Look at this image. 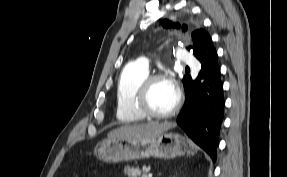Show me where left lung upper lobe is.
Listing matches in <instances>:
<instances>
[{"label":"left lung upper lobe","mask_w":287,"mask_h":177,"mask_svg":"<svg viewBox=\"0 0 287 177\" xmlns=\"http://www.w3.org/2000/svg\"><path fill=\"white\" fill-rule=\"evenodd\" d=\"M162 25L165 28H170V27H176L180 28L179 23H171L168 20H163ZM182 30L185 31L187 30V25L183 24L182 25ZM192 37L194 40V45H193V50H194V55L195 57H200L203 53H205L207 46L209 43H212L210 35L203 29L195 30L192 33ZM192 47H188V50H190Z\"/></svg>","instance_id":"left-lung-upper-lobe-1"}]
</instances>
